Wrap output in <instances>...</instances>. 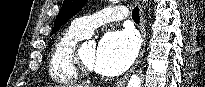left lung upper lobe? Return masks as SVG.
Masks as SVG:
<instances>
[{"label": "left lung upper lobe", "instance_id": "5c2ea615", "mask_svg": "<svg viewBox=\"0 0 205 87\" xmlns=\"http://www.w3.org/2000/svg\"><path fill=\"white\" fill-rule=\"evenodd\" d=\"M86 0H64L59 14L57 15L51 35L84 6Z\"/></svg>", "mask_w": 205, "mask_h": 87}]
</instances>
